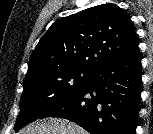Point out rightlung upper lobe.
<instances>
[{
  "label": "right lung upper lobe",
  "mask_w": 153,
  "mask_h": 134,
  "mask_svg": "<svg viewBox=\"0 0 153 134\" xmlns=\"http://www.w3.org/2000/svg\"><path fill=\"white\" fill-rule=\"evenodd\" d=\"M138 46L129 16L113 3L57 19L32 52L26 78L61 67L95 71Z\"/></svg>",
  "instance_id": "obj_1"
}]
</instances>
